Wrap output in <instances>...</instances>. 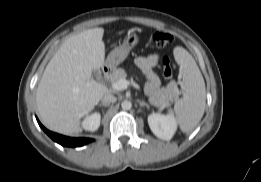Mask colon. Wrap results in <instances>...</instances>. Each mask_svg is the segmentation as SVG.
Wrapping results in <instances>:
<instances>
[{
	"label": "colon",
	"mask_w": 261,
	"mask_h": 182,
	"mask_svg": "<svg viewBox=\"0 0 261 182\" xmlns=\"http://www.w3.org/2000/svg\"><path fill=\"white\" fill-rule=\"evenodd\" d=\"M149 37L152 43L160 48L167 47L171 45L174 41L173 36L164 31H152L149 34ZM162 72H163L164 79L166 81L169 82L172 80L173 70L168 57H164L162 59Z\"/></svg>",
	"instance_id": "5ec220e1"
}]
</instances>
